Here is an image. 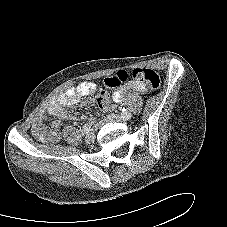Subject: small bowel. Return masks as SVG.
Here are the masks:
<instances>
[{
    "instance_id": "c3829d8e",
    "label": "small bowel",
    "mask_w": 227,
    "mask_h": 227,
    "mask_svg": "<svg viewBox=\"0 0 227 227\" xmlns=\"http://www.w3.org/2000/svg\"><path fill=\"white\" fill-rule=\"evenodd\" d=\"M96 85L90 81H84L69 88L65 92L50 99L46 106L40 109L33 119L32 132L39 139L56 138L61 127L62 119H73L68 112V107L75 105L81 98L91 95L95 92ZM129 91L145 93L147 87L138 81H130L113 92V100L119 103L123 100L125 94ZM47 116L55 117L51 123V131H47L44 126V120Z\"/></svg>"
}]
</instances>
